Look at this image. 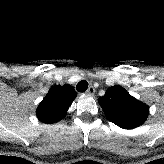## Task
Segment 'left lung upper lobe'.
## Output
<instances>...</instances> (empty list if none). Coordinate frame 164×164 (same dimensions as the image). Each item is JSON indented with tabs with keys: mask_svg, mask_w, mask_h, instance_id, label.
<instances>
[{
	"mask_svg": "<svg viewBox=\"0 0 164 164\" xmlns=\"http://www.w3.org/2000/svg\"><path fill=\"white\" fill-rule=\"evenodd\" d=\"M106 118L124 129L142 125L149 114V107L131 96L123 87L113 86L99 98Z\"/></svg>",
	"mask_w": 164,
	"mask_h": 164,
	"instance_id": "1",
	"label": "left lung upper lobe"
}]
</instances>
